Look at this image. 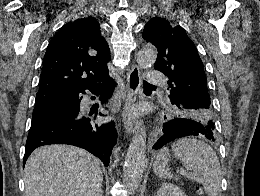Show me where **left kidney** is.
Segmentation results:
<instances>
[{"instance_id": "left-kidney-1", "label": "left kidney", "mask_w": 260, "mask_h": 196, "mask_svg": "<svg viewBox=\"0 0 260 196\" xmlns=\"http://www.w3.org/2000/svg\"><path fill=\"white\" fill-rule=\"evenodd\" d=\"M156 196H186V194L178 186L165 182V184H161Z\"/></svg>"}]
</instances>
